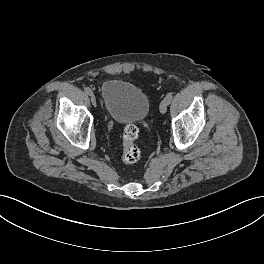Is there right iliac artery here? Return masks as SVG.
I'll list each match as a JSON object with an SVG mask.
<instances>
[{
	"label": "right iliac artery",
	"instance_id": "obj_1",
	"mask_svg": "<svg viewBox=\"0 0 264 264\" xmlns=\"http://www.w3.org/2000/svg\"><path fill=\"white\" fill-rule=\"evenodd\" d=\"M84 91L86 94L90 95L92 93V90L89 87H85Z\"/></svg>",
	"mask_w": 264,
	"mask_h": 264
}]
</instances>
